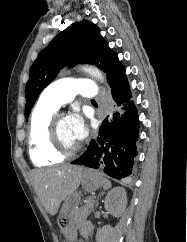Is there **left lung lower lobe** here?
Instances as JSON below:
<instances>
[{
  "mask_svg": "<svg viewBox=\"0 0 187 242\" xmlns=\"http://www.w3.org/2000/svg\"><path fill=\"white\" fill-rule=\"evenodd\" d=\"M110 89L113 100L120 106L118 112L103 121L100 137L91 140L85 153L71 164L99 168L107 175L121 179L132 173L139 118L126 75L115 80Z\"/></svg>",
  "mask_w": 187,
  "mask_h": 242,
  "instance_id": "left-lung-lower-lobe-1",
  "label": "left lung lower lobe"
}]
</instances>
